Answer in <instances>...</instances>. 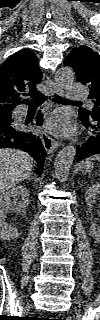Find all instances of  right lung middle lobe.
I'll list each match as a JSON object with an SVG mask.
<instances>
[{"mask_svg": "<svg viewBox=\"0 0 100 320\" xmlns=\"http://www.w3.org/2000/svg\"><path fill=\"white\" fill-rule=\"evenodd\" d=\"M8 120H9V119H7V120H0V126L3 125V124H5V123H7Z\"/></svg>", "mask_w": 100, "mask_h": 320, "instance_id": "obj_1", "label": "right lung middle lobe"}]
</instances>
